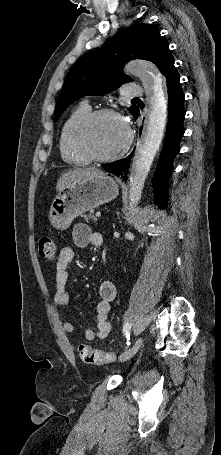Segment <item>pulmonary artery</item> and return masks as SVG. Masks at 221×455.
<instances>
[{
	"instance_id": "1",
	"label": "pulmonary artery",
	"mask_w": 221,
	"mask_h": 455,
	"mask_svg": "<svg viewBox=\"0 0 221 455\" xmlns=\"http://www.w3.org/2000/svg\"><path fill=\"white\" fill-rule=\"evenodd\" d=\"M122 94L128 97H136L143 95L142 89L136 84H126L123 87Z\"/></svg>"
}]
</instances>
